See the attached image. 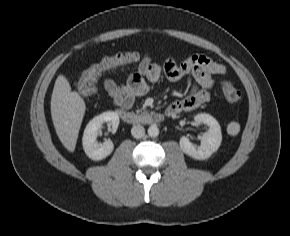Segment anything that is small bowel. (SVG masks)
Returning a JSON list of instances; mask_svg holds the SVG:
<instances>
[{"label": "small bowel", "mask_w": 290, "mask_h": 236, "mask_svg": "<svg viewBox=\"0 0 290 236\" xmlns=\"http://www.w3.org/2000/svg\"><path fill=\"white\" fill-rule=\"evenodd\" d=\"M122 68L114 71L121 73ZM226 68L223 64L213 61L204 54H193L181 63H176L172 58H167L163 63H158L150 55L142 59L138 70L133 73L125 85H118L113 78L103 80V88L112 100V103L121 110H129L137 97L146 94L152 83L158 82L163 76L171 81H179L186 76H191L194 84L188 94L172 102L166 109L169 116L198 108L210 99L214 86L213 76L225 75ZM227 83L223 82V85Z\"/></svg>", "instance_id": "1"}]
</instances>
